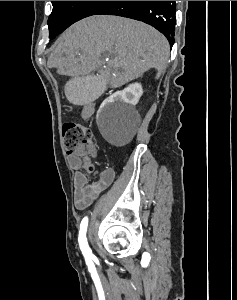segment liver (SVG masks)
Here are the masks:
<instances>
[{
	"instance_id": "6515ba94",
	"label": "liver",
	"mask_w": 237,
	"mask_h": 300,
	"mask_svg": "<svg viewBox=\"0 0 237 300\" xmlns=\"http://www.w3.org/2000/svg\"><path fill=\"white\" fill-rule=\"evenodd\" d=\"M49 55L47 67L59 75H88L95 69L116 89L156 69L164 71L169 43L159 31L132 19L94 15L69 27ZM107 67H103V65Z\"/></svg>"
}]
</instances>
